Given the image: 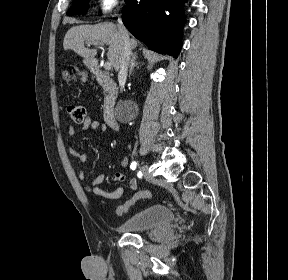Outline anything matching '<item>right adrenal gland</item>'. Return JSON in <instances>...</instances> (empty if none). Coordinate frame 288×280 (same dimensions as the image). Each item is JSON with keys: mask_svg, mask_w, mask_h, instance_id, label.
<instances>
[{"mask_svg": "<svg viewBox=\"0 0 288 280\" xmlns=\"http://www.w3.org/2000/svg\"><path fill=\"white\" fill-rule=\"evenodd\" d=\"M136 59L137 54L136 53L132 54V58L129 65V77L131 76L134 67H137L140 64L139 62L136 61Z\"/></svg>", "mask_w": 288, "mask_h": 280, "instance_id": "2a0ac1e0", "label": "right adrenal gland"}]
</instances>
